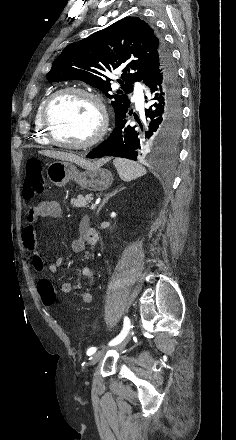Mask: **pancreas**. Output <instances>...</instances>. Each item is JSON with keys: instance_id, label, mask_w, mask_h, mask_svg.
I'll return each mask as SVG.
<instances>
[{"instance_id": "1", "label": "pancreas", "mask_w": 236, "mask_h": 440, "mask_svg": "<svg viewBox=\"0 0 236 440\" xmlns=\"http://www.w3.org/2000/svg\"><path fill=\"white\" fill-rule=\"evenodd\" d=\"M92 200V195H79L77 198L71 200L73 207L84 208L88 207V204Z\"/></svg>"}]
</instances>
